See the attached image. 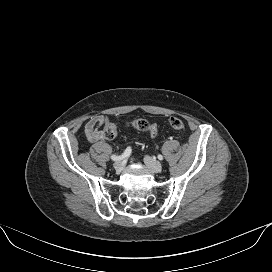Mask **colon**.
I'll return each instance as SVG.
<instances>
[{
    "label": "colon",
    "instance_id": "obj_1",
    "mask_svg": "<svg viewBox=\"0 0 272 272\" xmlns=\"http://www.w3.org/2000/svg\"><path fill=\"white\" fill-rule=\"evenodd\" d=\"M169 124L170 127L176 131H182L185 128L184 122L177 117H172L169 120ZM130 125L138 131L149 133L153 138L158 136V126L156 123L149 122L145 119H135L130 123ZM117 132L118 127L114 123H110L104 129L105 138L112 140L116 137Z\"/></svg>",
    "mask_w": 272,
    "mask_h": 272
}]
</instances>
